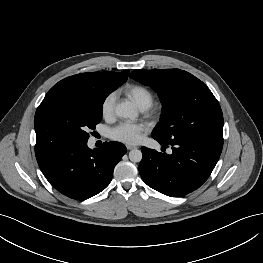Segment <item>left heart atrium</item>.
Instances as JSON below:
<instances>
[{
	"label": "left heart atrium",
	"instance_id": "left-heart-atrium-1",
	"mask_svg": "<svg viewBox=\"0 0 263 263\" xmlns=\"http://www.w3.org/2000/svg\"><path fill=\"white\" fill-rule=\"evenodd\" d=\"M146 130L143 123H120L110 131L112 139L126 143L137 144L141 140L142 133Z\"/></svg>",
	"mask_w": 263,
	"mask_h": 263
}]
</instances>
